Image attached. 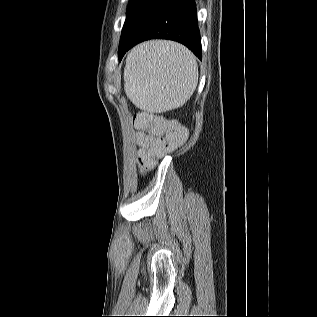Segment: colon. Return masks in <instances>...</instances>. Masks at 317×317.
<instances>
[{"instance_id": "5ec220e1", "label": "colon", "mask_w": 317, "mask_h": 317, "mask_svg": "<svg viewBox=\"0 0 317 317\" xmlns=\"http://www.w3.org/2000/svg\"><path fill=\"white\" fill-rule=\"evenodd\" d=\"M134 125L156 137L148 150L139 153L138 166L141 171L152 168L157 159L181 146L186 139V130L177 121L152 112L142 111L136 114Z\"/></svg>"}]
</instances>
